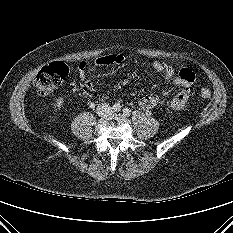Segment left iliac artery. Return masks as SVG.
<instances>
[{"label":"left iliac artery","instance_id":"left-iliac-artery-1","mask_svg":"<svg viewBox=\"0 0 233 233\" xmlns=\"http://www.w3.org/2000/svg\"><path fill=\"white\" fill-rule=\"evenodd\" d=\"M123 114H124L125 116H129V115L131 114V110H130L129 108H124V109H123Z\"/></svg>","mask_w":233,"mask_h":233}]
</instances>
